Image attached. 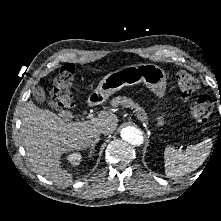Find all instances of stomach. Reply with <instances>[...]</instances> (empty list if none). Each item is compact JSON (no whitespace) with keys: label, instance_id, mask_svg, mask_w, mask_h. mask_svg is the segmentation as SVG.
<instances>
[{"label":"stomach","instance_id":"obj_1","mask_svg":"<svg viewBox=\"0 0 221 221\" xmlns=\"http://www.w3.org/2000/svg\"><path fill=\"white\" fill-rule=\"evenodd\" d=\"M141 82L157 97H164L167 82L166 74L159 66L151 63L130 65L110 72L100 81L92 96L94 101L103 102L124 86H134ZM164 123V117L159 116L157 124L163 126Z\"/></svg>","mask_w":221,"mask_h":221}]
</instances>
